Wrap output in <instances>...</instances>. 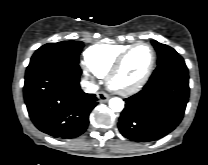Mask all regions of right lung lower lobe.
<instances>
[{
  "mask_svg": "<svg viewBox=\"0 0 208 165\" xmlns=\"http://www.w3.org/2000/svg\"><path fill=\"white\" fill-rule=\"evenodd\" d=\"M81 73L78 63L65 57L47 58L27 67L24 100L40 131L55 138H74L87 129L98 99L81 90Z\"/></svg>",
  "mask_w": 208,
  "mask_h": 165,
  "instance_id": "1",
  "label": "right lung lower lobe"
}]
</instances>
